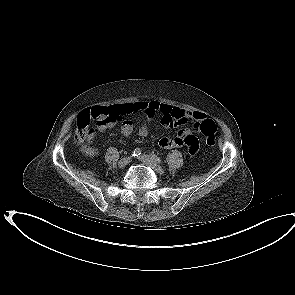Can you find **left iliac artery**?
Listing matches in <instances>:
<instances>
[{"label":"left iliac artery","mask_w":295,"mask_h":295,"mask_svg":"<svg viewBox=\"0 0 295 295\" xmlns=\"http://www.w3.org/2000/svg\"><path fill=\"white\" fill-rule=\"evenodd\" d=\"M151 157H152V159H153L155 162H157V163H161V162H162L161 158L158 157V156H157L156 154H154V153L151 154Z\"/></svg>","instance_id":"44dca946"}]
</instances>
